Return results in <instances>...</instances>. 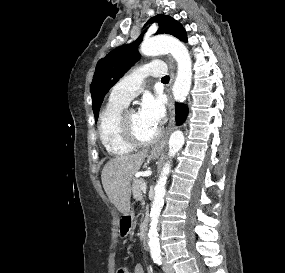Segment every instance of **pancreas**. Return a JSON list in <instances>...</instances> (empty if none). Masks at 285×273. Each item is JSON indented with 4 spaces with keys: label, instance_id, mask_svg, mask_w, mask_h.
I'll return each instance as SVG.
<instances>
[{
    "label": "pancreas",
    "instance_id": "cf45deb5",
    "mask_svg": "<svg viewBox=\"0 0 285 273\" xmlns=\"http://www.w3.org/2000/svg\"><path fill=\"white\" fill-rule=\"evenodd\" d=\"M144 183L143 179L134 180L132 183L133 198L137 201L143 200V191L141 190V185Z\"/></svg>",
    "mask_w": 285,
    "mask_h": 273
}]
</instances>
